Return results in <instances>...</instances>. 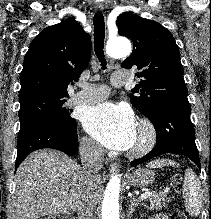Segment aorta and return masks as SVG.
Listing matches in <instances>:
<instances>
[{
	"label": "aorta",
	"instance_id": "1",
	"mask_svg": "<svg viewBox=\"0 0 211 219\" xmlns=\"http://www.w3.org/2000/svg\"><path fill=\"white\" fill-rule=\"evenodd\" d=\"M131 44L126 39L117 38L110 41L107 45V54L110 57H126L131 53ZM119 192H120V175L115 174L107 184L101 219H119Z\"/></svg>",
	"mask_w": 211,
	"mask_h": 219
}]
</instances>
